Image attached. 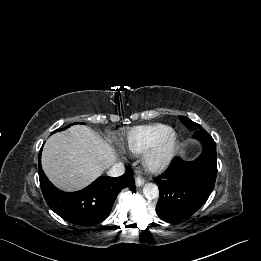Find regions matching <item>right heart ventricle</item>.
Wrapping results in <instances>:
<instances>
[{"label": "right heart ventricle", "mask_w": 261, "mask_h": 261, "mask_svg": "<svg viewBox=\"0 0 261 261\" xmlns=\"http://www.w3.org/2000/svg\"><path fill=\"white\" fill-rule=\"evenodd\" d=\"M172 131L164 124H152L132 128L126 134L122 147L131 154L138 155L144 153L163 135Z\"/></svg>", "instance_id": "obj_1"}]
</instances>
